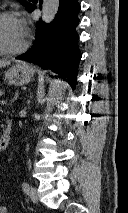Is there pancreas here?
<instances>
[{
    "mask_svg": "<svg viewBox=\"0 0 128 213\" xmlns=\"http://www.w3.org/2000/svg\"><path fill=\"white\" fill-rule=\"evenodd\" d=\"M4 93L0 90V97L3 95Z\"/></svg>",
    "mask_w": 128,
    "mask_h": 213,
    "instance_id": "1",
    "label": "pancreas"
}]
</instances>
